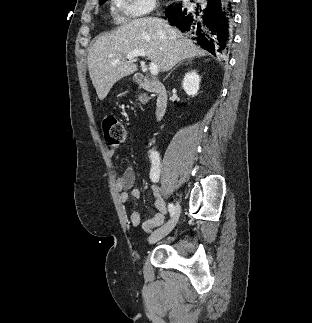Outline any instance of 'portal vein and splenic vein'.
<instances>
[{"mask_svg": "<svg viewBox=\"0 0 312 323\" xmlns=\"http://www.w3.org/2000/svg\"><path fill=\"white\" fill-rule=\"evenodd\" d=\"M138 56H146L144 50H134V52H130V54H127L126 58L131 62L133 58H138ZM120 60H113L112 64H118ZM149 70L152 74V76H158V72L160 70L159 66L157 64H154V62H150L149 64Z\"/></svg>", "mask_w": 312, "mask_h": 323, "instance_id": "obj_1", "label": "portal vein and splenic vein"}]
</instances>
